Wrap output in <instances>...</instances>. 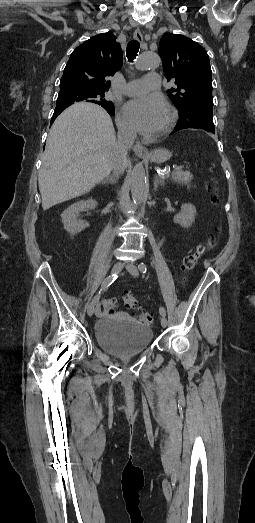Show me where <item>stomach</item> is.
Segmentation results:
<instances>
[{"label": "stomach", "mask_w": 255, "mask_h": 523, "mask_svg": "<svg viewBox=\"0 0 255 523\" xmlns=\"http://www.w3.org/2000/svg\"><path fill=\"white\" fill-rule=\"evenodd\" d=\"M140 158H142V156H140ZM150 158L152 162H164V160L169 158V152L164 150V148H161V150H155V152L151 154Z\"/></svg>", "instance_id": "obj_1"}]
</instances>
